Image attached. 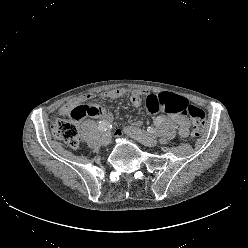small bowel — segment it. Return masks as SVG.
Returning a JSON list of instances; mask_svg holds the SVG:
<instances>
[{"label":"small bowel","instance_id":"c3829d8e","mask_svg":"<svg viewBox=\"0 0 248 248\" xmlns=\"http://www.w3.org/2000/svg\"><path fill=\"white\" fill-rule=\"evenodd\" d=\"M145 91L143 90H127L124 88H116V89H111L104 91L100 94L102 98H107V99H115L122 97L124 95L129 96V100L131 104L135 107H138L141 105L144 96H145ZM94 93H84L76 98H73L72 100L68 101L66 104H64L60 110L59 113L62 116H69L72 109L75 108L76 106L80 105L83 102L92 100L95 98ZM91 112L88 116L91 117H96V118H104L105 120L111 121L112 120V114L109 113L105 108L97 105H90ZM170 118L178 124V133L180 137L182 138H187L190 135V128H189V122L185 118L183 114H172ZM139 123L136 122L135 125H138ZM121 135V133H120Z\"/></svg>","mask_w":248,"mask_h":248}]
</instances>
